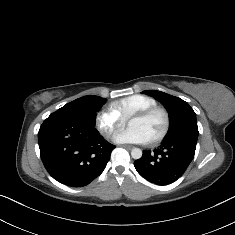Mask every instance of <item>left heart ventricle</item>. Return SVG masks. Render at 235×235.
<instances>
[{"label": "left heart ventricle", "instance_id": "b2bd125f", "mask_svg": "<svg viewBox=\"0 0 235 235\" xmlns=\"http://www.w3.org/2000/svg\"><path fill=\"white\" fill-rule=\"evenodd\" d=\"M129 126L142 130L150 141L162 132L165 120L160 113H156L148 119L132 118L129 121Z\"/></svg>", "mask_w": 235, "mask_h": 235}]
</instances>
